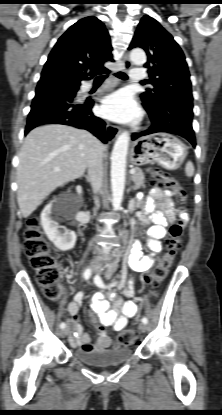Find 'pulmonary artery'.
Returning a JSON list of instances; mask_svg holds the SVG:
<instances>
[{
	"instance_id": "1",
	"label": "pulmonary artery",
	"mask_w": 222,
	"mask_h": 415,
	"mask_svg": "<svg viewBox=\"0 0 222 415\" xmlns=\"http://www.w3.org/2000/svg\"><path fill=\"white\" fill-rule=\"evenodd\" d=\"M147 73L145 69L140 67H135L131 70L130 77L133 82H143L146 79ZM90 89L89 85L84 86V91Z\"/></svg>"
}]
</instances>
